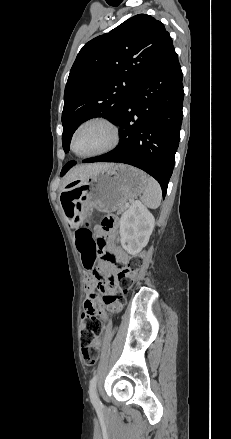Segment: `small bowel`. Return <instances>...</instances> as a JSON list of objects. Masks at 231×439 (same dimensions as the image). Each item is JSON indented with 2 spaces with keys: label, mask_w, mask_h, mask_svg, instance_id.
<instances>
[{
  "label": "small bowel",
  "mask_w": 231,
  "mask_h": 439,
  "mask_svg": "<svg viewBox=\"0 0 231 439\" xmlns=\"http://www.w3.org/2000/svg\"><path fill=\"white\" fill-rule=\"evenodd\" d=\"M73 229L76 248L81 256V259L86 252L90 250H96L102 259L100 263V269L108 276L107 281L99 282L95 278V276L89 271L90 274L87 275L85 278L87 297L84 301V310L92 309L95 313L101 314V312L103 311V302L96 294V289H100L103 292L110 291L112 289V286L114 284L113 274L116 271V267L111 264L110 261L113 258H116L119 262H122L124 260V254L120 249L113 247L110 244L109 240H99L98 242H95L92 237L91 231L86 227L76 225L73 227ZM98 231H102V229L99 228ZM109 237H111V235ZM94 346L97 349H100L102 346V340L98 339L95 342Z\"/></svg>",
  "instance_id": "c3829d8e"
}]
</instances>
